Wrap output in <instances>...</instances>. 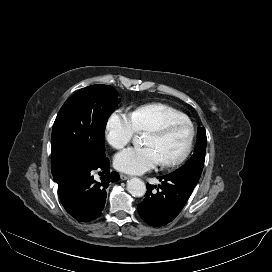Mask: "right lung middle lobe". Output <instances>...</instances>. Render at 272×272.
<instances>
[{"instance_id":"obj_1","label":"right lung middle lobe","mask_w":272,"mask_h":272,"mask_svg":"<svg viewBox=\"0 0 272 272\" xmlns=\"http://www.w3.org/2000/svg\"><path fill=\"white\" fill-rule=\"evenodd\" d=\"M119 102L118 92L102 84L82 88L66 100L52 129L54 180L78 165L106 157L105 127Z\"/></svg>"}]
</instances>
